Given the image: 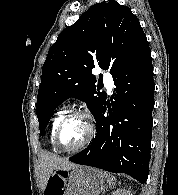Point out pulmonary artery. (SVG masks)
I'll return each mask as SVG.
<instances>
[{"instance_id": "pulmonary-artery-1", "label": "pulmonary artery", "mask_w": 178, "mask_h": 195, "mask_svg": "<svg viewBox=\"0 0 178 195\" xmlns=\"http://www.w3.org/2000/svg\"><path fill=\"white\" fill-rule=\"evenodd\" d=\"M104 84L106 85L108 91H111L113 87V80L109 74L104 75Z\"/></svg>"}]
</instances>
